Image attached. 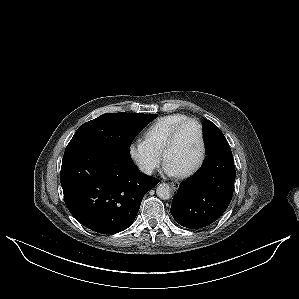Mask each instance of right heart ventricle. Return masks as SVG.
<instances>
[{"label": "right heart ventricle", "mask_w": 299, "mask_h": 299, "mask_svg": "<svg viewBox=\"0 0 299 299\" xmlns=\"http://www.w3.org/2000/svg\"><path fill=\"white\" fill-rule=\"evenodd\" d=\"M189 120L183 114H171L158 119L145 133V143L149 149L161 155L172 132Z\"/></svg>", "instance_id": "obj_1"}]
</instances>
